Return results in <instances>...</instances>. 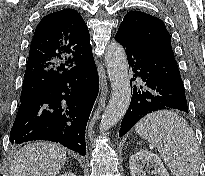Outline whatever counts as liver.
<instances>
[{
  "mask_svg": "<svg viewBox=\"0 0 205 176\" xmlns=\"http://www.w3.org/2000/svg\"><path fill=\"white\" fill-rule=\"evenodd\" d=\"M66 158V150L55 143L28 144L13 155L9 176H56Z\"/></svg>",
  "mask_w": 205,
  "mask_h": 176,
  "instance_id": "liver-1",
  "label": "liver"
}]
</instances>
